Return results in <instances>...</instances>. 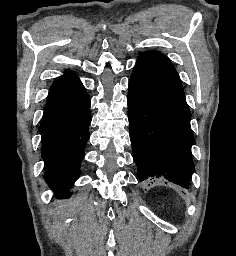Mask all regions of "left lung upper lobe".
<instances>
[{
    "mask_svg": "<svg viewBox=\"0 0 236 256\" xmlns=\"http://www.w3.org/2000/svg\"><path fill=\"white\" fill-rule=\"evenodd\" d=\"M134 69L141 70L166 84L183 91L178 73L170 60L157 51L141 54Z\"/></svg>",
    "mask_w": 236,
    "mask_h": 256,
    "instance_id": "1",
    "label": "left lung upper lobe"
}]
</instances>
